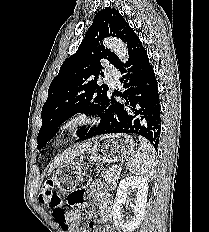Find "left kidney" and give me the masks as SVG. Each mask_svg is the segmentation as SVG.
<instances>
[{"label":"left kidney","mask_w":209,"mask_h":232,"mask_svg":"<svg viewBox=\"0 0 209 232\" xmlns=\"http://www.w3.org/2000/svg\"><path fill=\"white\" fill-rule=\"evenodd\" d=\"M129 190H136L134 215L131 220L123 221L121 217V207L127 200ZM148 195V182L145 177L131 176L121 180L117 189L114 205L113 220L119 232H132L142 223Z\"/></svg>","instance_id":"1"}]
</instances>
